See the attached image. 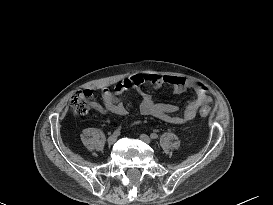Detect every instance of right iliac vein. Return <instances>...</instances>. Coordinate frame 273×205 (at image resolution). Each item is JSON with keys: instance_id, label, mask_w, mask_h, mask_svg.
I'll list each match as a JSON object with an SVG mask.
<instances>
[{"instance_id": "63e3f726", "label": "right iliac vein", "mask_w": 273, "mask_h": 205, "mask_svg": "<svg viewBox=\"0 0 273 205\" xmlns=\"http://www.w3.org/2000/svg\"><path fill=\"white\" fill-rule=\"evenodd\" d=\"M116 140H117V136L115 134H113V135L109 136L107 141H108V144L112 145L116 142Z\"/></svg>"}]
</instances>
